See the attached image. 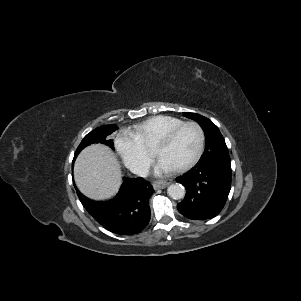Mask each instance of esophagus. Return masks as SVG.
I'll list each match as a JSON object with an SVG mask.
<instances>
[{
	"label": "esophagus",
	"instance_id": "1",
	"mask_svg": "<svg viewBox=\"0 0 301 301\" xmlns=\"http://www.w3.org/2000/svg\"><path fill=\"white\" fill-rule=\"evenodd\" d=\"M170 183H172V180H165V181H160V182H155L153 184L154 189H164L167 187Z\"/></svg>",
	"mask_w": 301,
	"mask_h": 301
}]
</instances>
